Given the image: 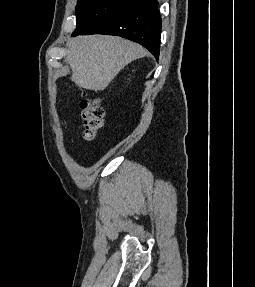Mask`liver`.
<instances>
[{
    "mask_svg": "<svg viewBox=\"0 0 255 287\" xmlns=\"http://www.w3.org/2000/svg\"><path fill=\"white\" fill-rule=\"evenodd\" d=\"M66 60L71 80L85 90H105L124 66L147 52L134 42L117 36H78L67 44Z\"/></svg>",
    "mask_w": 255,
    "mask_h": 287,
    "instance_id": "obj_1",
    "label": "liver"
}]
</instances>
